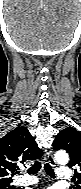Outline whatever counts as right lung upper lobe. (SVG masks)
Listing matches in <instances>:
<instances>
[{"instance_id":"right-lung-upper-lobe-1","label":"right lung upper lobe","mask_w":81,"mask_h":189,"mask_svg":"<svg viewBox=\"0 0 81 189\" xmlns=\"http://www.w3.org/2000/svg\"><path fill=\"white\" fill-rule=\"evenodd\" d=\"M43 152L26 127H17L0 139V186L11 184L18 164L35 160Z\"/></svg>"}]
</instances>
